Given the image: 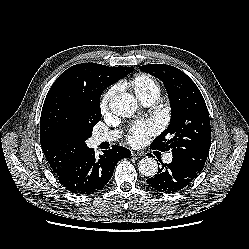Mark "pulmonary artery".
Returning a JSON list of instances; mask_svg holds the SVG:
<instances>
[{
    "mask_svg": "<svg viewBox=\"0 0 249 249\" xmlns=\"http://www.w3.org/2000/svg\"><path fill=\"white\" fill-rule=\"evenodd\" d=\"M157 99V97L155 96H152V97H149L148 99H145L143 102L144 104L146 105H150L152 104L153 102H155V100ZM117 133H114V132H111V133H106V134H97L95 137H94V141L99 144L101 142H105V141H113L116 139L117 137ZM164 161L166 163H170L172 161V154H166L165 157H164Z\"/></svg>",
    "mask_w": 249,
    "mask_h": 249,
    "instance_id": "1",
    "label": "pulmonary artery"
}]
</instances>
